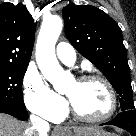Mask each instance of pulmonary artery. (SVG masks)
<instances>
[{
    "mask_svg": "<svg viewBox=\"0 0 136 136\" xmlns=\"http://www.w3.org/2000/svg\"><path fill=\"white\" fill-rule=\"evenodd\" d=\"M57 57L67 65H73L76 60V53L74 48L66 43L60 42L56 47Z\"/></svg>",
    "mask_w": 136,
    "mask_h": 136,
    "instance_id": "pulmonary-artery-1",
    "label": "pulmonary artery"
}]
</instances>
